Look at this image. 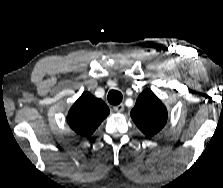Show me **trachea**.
<instances>
[{"label":"trachea","mask_w":223,"mask_h":188,"mask_svg":"<svg viewBox=\"0 0 223 188\" xmlns=\"http://www.w3.org/2000/svg\"><path fill=\"white\" fill-rule=\"evenodd\" d=\"M122 94L117 90H110L107 96L108 102L112 105H118L122 101Z\"/></svg>","instance_id":"trachea-1"}]
</instances>
